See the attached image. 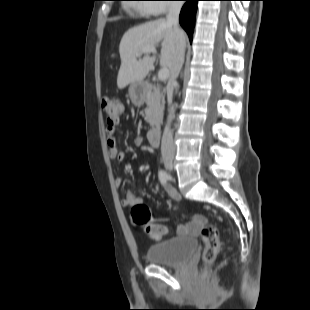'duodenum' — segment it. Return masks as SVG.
Returning <instances> with one entry per match:
<instances>
[{
  "mask_svg": "<svg viewBox=\"0 0 310 310\" xmlns=\"http://www.w3.org/2000/svg\"><path fill=\"white\" fill-rule=\"evenodd\" d=\"M160 136H161V129L158 127L149 131L148 139L153 147H157L159 145Z\"/></svg>",
  "mask_w": 310,
  "mask_h": 310,
  "instance_id": "obj_1",
  "label": "duodenum"
}]
</instances>
